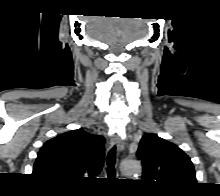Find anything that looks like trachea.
I'll use <instances>...</instances> for the list:
<instances>
[{
	"label": "trachea",
	"mask_w": 220,
	"mask_h": 196,
	"mask_svg": "<svg viewBox=\"0 0 220 196\" xmlns=\"http://www.w3.org/2000/svg\"><path fill=\"white\" fill-rule=\"evenodd\" d=\"M116 163V146H114L107 155V175L108 179H114L116 175L115 171Z\"/></svg>",
	"instance_id": "trachea-1"
}]
</instances>
